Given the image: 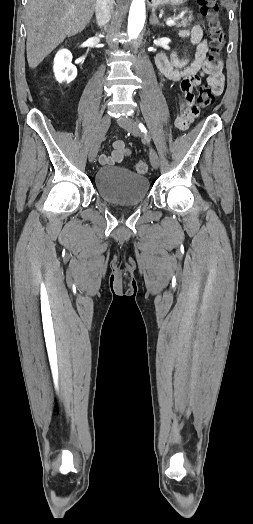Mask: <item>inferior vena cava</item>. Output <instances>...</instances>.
<instances>
[{
    "instance_id": "602c4592",
    "label": "inferior vena cava",
    "mask_w": 253,
    "mask_h": 524,
    "mask_svg": "<svg viewBox=\"0 0 253 524\" xmlns=\"http://www.w3.org/2000/svg\"><path fill=\"white\" fill-rule=\"evenodd\" d=\"M114 0H97L95 13L97 24L100 27L105 26L110 18L113 11Z\"/></svg>"
}]
</instances>
